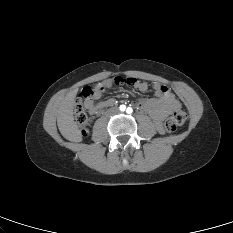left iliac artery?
Instances as JSON below:
<instances>
[{
    "label": "left iliac artery",
    "mask_w": 233,
    "mask_h": 233,
    "mask_svg": "<svg viewBox=\"0 0 233 233\" xmlns=\"http://www.w3.org/2000/svg\"><path fill=\"white\" fill-rule=\"evenodd\" d=\"M126 112H127L128 114H131V113L133 112V109H132L131 107H128L127 110H126Z\"/></svg>",
    "instance_id": "44dca946"
}]
</instances>
